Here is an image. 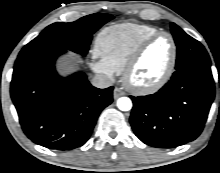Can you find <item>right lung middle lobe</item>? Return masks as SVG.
<instances>
[{
    "mask_svg": "<svg viewBox=\"0 0 220 173\" xmlns=\"http://www.w3.org/2000/svg\"><path fill=\"white\" fill-rule=\"evenodd\" d=\"M113 18L109 14L95 13L71 23H54L28 43L19 56L49 48H62L86 55L92 34Z\"/></svg>",
    "mask_w": 220,
    "mask_h": 173,
    "instance_id": "1",
    "label": "right lung middle lobe"
}]
</instances>
